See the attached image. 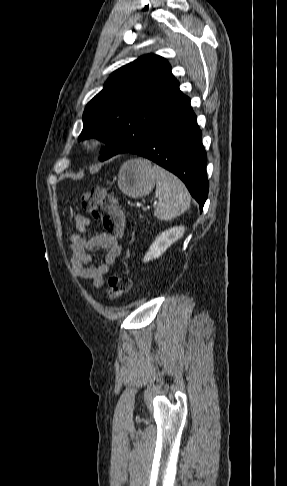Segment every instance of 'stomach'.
Returning a JSON list of instances; mask_svg holds the SVG:
<instances>
[{
    "instance_id": "1",
    "label": "stomach",
    "mask_w": 287,
    "mask_h": 486,
    "mask_svg": "<svg viewBox=\"0 0 287 486\" xmlns=\"http://www.w3.org/2000/svg\"><path fill=\"white\" fill-rule=\"evenodd\" d=\"M157 175L148 160L136 158L126 161L118 173V187L127 196L139 198L149 194Z\"/></svg>"
}]
</instances>
